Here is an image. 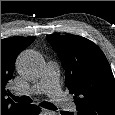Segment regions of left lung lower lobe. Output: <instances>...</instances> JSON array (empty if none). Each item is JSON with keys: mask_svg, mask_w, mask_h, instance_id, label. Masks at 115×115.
Wrapping results in <instances>:
<instances>
[{"mask_svg": "<svg viewBox=\"0 0 115 115\" xmlns=\"http://www.w3.org/2000/svg\"><path fill=\"white\" fill-rule=\"evenodd\" d=\"M61 114L62 115H74L73 113L67 112V111H62Z\"/></svg>", "mask_w": 115, "mask_h": 115, "instance_id": "1", "label": "left lung lower lobe"}]
</instances>
